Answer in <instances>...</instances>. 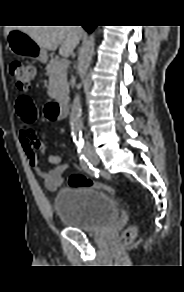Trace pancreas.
<instances>
[{
	"label": "pancreas",
	"instance_id": "pancreas-1",
	"mask_svg": "<svg viewBox=\"0 0 184 292\" xmlns=\"http://www.w3.org/2000/svg\"><path fill=\"white\" fill-rule=\"evenodd\" d=\"M46 72L49 76V96L54 99H63L66 97L69 92L67 67H64L60 60L52 58L46 66Z\"/></svg>",
	"mask_w": 184,
	"mask_h": 292
}]
</instances>
